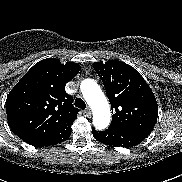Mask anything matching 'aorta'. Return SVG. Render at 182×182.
<instances>
[{"mask_svg": "<svg viewBox=\"0 0 182 182\" xmlns=\"http://www.w3.org/2000/svg\"><path fill=\"white\" fill-rule=\"evenodd\" d=\"M81 92L84 99L93 111V125L103 130L110 123V107L100 86L92 79H85L81 83Z\"/></svg>", "mask_w": 182, "mask_h": 182, "instance_id": "762f6f07", "label": "aorta"}]
</instances>
